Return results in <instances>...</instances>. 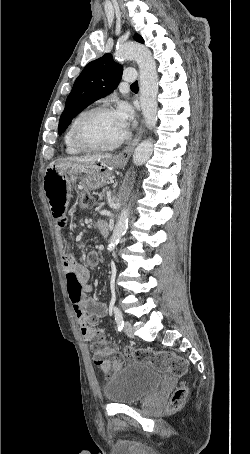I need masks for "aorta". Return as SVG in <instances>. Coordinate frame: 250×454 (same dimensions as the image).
Wrapping results in <instances>:
<instances>
[{"label":"aorta","instance_id":"762f6f07","mask_svg":"<svg viewBox=\"0 0 250 454\" xmlns=\"http://www.w3.org/2000/svg\"><path fill=\"white\" fill-rule=\"evenodd\" d=\"M118 59L129 58L135 60L139 67L140 105L144 116V122L148 129L152 130L157 123V94L158 75L156 63L148 48L137 42H127L120 45L116 50ZM153 153V140L147 139L139 143L133 154L135 165H143ZM129 210L124 209L120 213L108 250L113 251L128 227Z\"/></svg>","mask_w":250,"mask_h":454}]
</instances>
